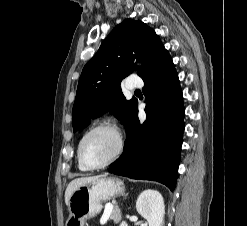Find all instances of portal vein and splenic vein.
Listing matches in <instances>:
<instances>
[{"mask_svg": "<svg viewBox=\"0 0 247 226\" xmlns=\"http://www.w3.org/2000/svg\"><path fill=\"white\" fill-rule=\"evenodd\" d=\"M112 209H113V206H112V205H107V206H106V210H107V211H110V212H111Z\"/></svg>", "mask_w": 247, "mask_h": 226, "instance_id": "18ae733b", "label": "portal vein and splenic vein"}]
</instances>
